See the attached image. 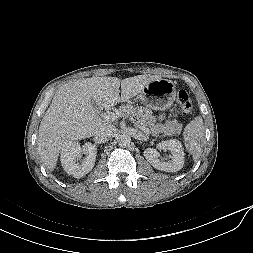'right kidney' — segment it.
Masks as SVG:
<instances>
[{
	"mask_svg": "<svg viewBox=\"0 0 253 253\" xmlns=\"http://www.w3.org/2000/svg\"><path fill=\"white\" fill-rule=\"evenodd\" d=\"M82 153L86 154V157L79 164L78 158ZM96 155L97 148L90 142L85 143L82 148L78 142H72L62 149L60 161L67 174L79 179L93 169Z\"/></svg>",
	"mask_w": 253,
	"mask_h": 253,
	"instance_id": "1",
	"label": "right kidney"
}]
</instances>
